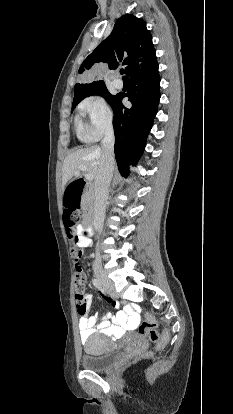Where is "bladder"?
<instances>
[{"instance_id": "1", "label": "bladder", "mask_w": 233, "mask_h": 414, "mask_svg": "<svg viewBox=\"0 0 233 414\" xmlns=\"http://www.w3.org/2000/svg\"><path fill=\"white\" fill-rule=\"evenodd\" d=\"M120 352L103 335H96L85 345V354L81 357L84 370L101 372L110 369L119 360Z\"/></svg>"}]
</instances>
